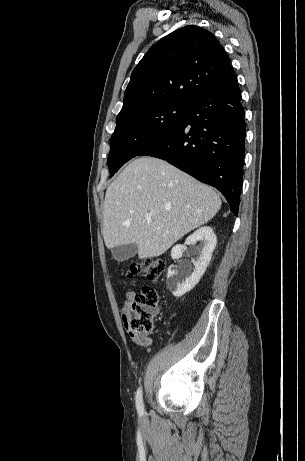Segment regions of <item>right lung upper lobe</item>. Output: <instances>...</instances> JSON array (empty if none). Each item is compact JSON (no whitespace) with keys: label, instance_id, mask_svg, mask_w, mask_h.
Instances as JSON below:
<instances>
[{"label":"right lung upper lobe","instance_id":"right-lung-upper-lobe-1","mask_svg":"<svg viewBox=\"0 0 305 461\" xmlns=\"http://www.w3.org/2000/svg\"><path fill=\"white\" fill-rule=\"evenodd\" d=\"M233 75L225 49L211 32L182 27L154 44L135 67L117 120L161 103L189 104Z\"/></svg>","mask_w":305,"mask_h":461}]
</instances>
